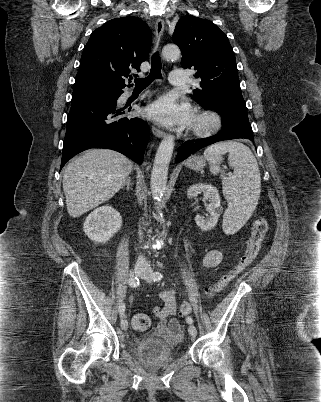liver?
<instances>
[{"instance_id": "6515ba94", "label": "liver", "mask_w": 321, "mask_h": 402, "mask_svg": "<svg viewBox=\"0 0 321 402\" xmlns=\"http://www.w3.org/2000/svg\"><path fill=\"white\" fill-rule=\"evenodd\" d=\"M132 161L108 149H92L70 162L64 171L67 211L77 218L109 200L125 183Z\"/></svg>"}]
</instances>
